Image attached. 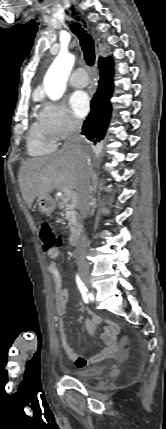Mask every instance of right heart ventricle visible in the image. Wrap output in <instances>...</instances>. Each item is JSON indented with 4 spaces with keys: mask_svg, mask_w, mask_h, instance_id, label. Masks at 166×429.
<instances>
[{
    "mask_svg": "<svg viewBox=\"0 0 166 429\" xmlns=\"http://www.w3.org/2000/svg\"><path fill=\"white\" fill-rule=\"evenodd\" d=\"M56 141L49 135L40 122H34L28 136V151L38 156L53 152Z\"/></svg>",
    "mask_w": 166,
    "mask_h": 429,
    "instance_id": "e07e8e85",
    "label": "right heart ventricle"
}]
</instances>
